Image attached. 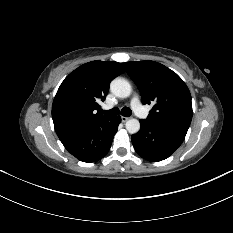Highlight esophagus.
I'll list each match as a JSON object with an SVG mask.
<instances>
[{
    "instance_id": "1",
    "label": "esophagus",
    "mask_w": 233,
    "mask_h": 233,
    "mask_svg": "<svg viewBox=\"0 0 233 233\" xmlns=\"http://www.w3.org/2000/svg\"><path fill=\"white\" fill-rule=\"evenodd\" d=\"M128 119H129V118H128V117H125V116H122V117H121V121H122L123 123H125L126 121H128Z\"/></svg>"
}]
</instances>
